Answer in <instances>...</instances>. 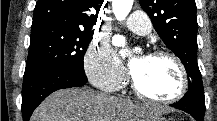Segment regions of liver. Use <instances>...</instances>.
I'll return each instance as SVG.
<instances>
[{"mask_svg":"<svg viewBox=\"0 0 217 121\" xmlns=\"http://www.w3.org/2000/svg\"><path fill=\"white\" fill-rule=\"evenodd\" d=\"M156 108L135 105L89 89H61L48 96L33 112L31 121H151Z\"/></svg>","mask_w":217,"mask_h":121,"instance_id":"obj_1","label":"liver"}]
</instances>
